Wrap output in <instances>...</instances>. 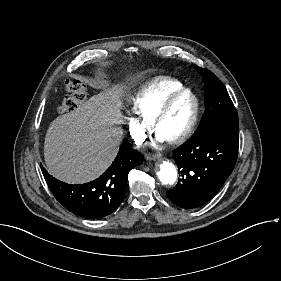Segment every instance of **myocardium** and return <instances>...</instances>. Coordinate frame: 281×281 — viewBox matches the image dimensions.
Masks as SVG:
<instances>
[{"label": "myocardium", "instance_id": "f54148a6", "mask_svg": "<svg viewBox=\"0 0 281 281\" xmlns=\"http://www.w3.org/2000/svg\"><path fill=\"white\" fill-rule=\"evenodd\" d=\"M184 95H189L194 100V108L192 111V114L186 124V126L178 133L176 136H174L171 139L165 140L170 145H178L183 143L193 132L196 123L198 121L199 117V110H200V103L198 97L189 89H183L170 97H168L158 108L157 110L149 117L147 120V126L149 130L154 132L156 134V128L162 117L165 115V113L168 111V109L171 107V105L180 97Z\"/></svg>", "mask_w": 281, "mask_h": 281}]
</instances>
